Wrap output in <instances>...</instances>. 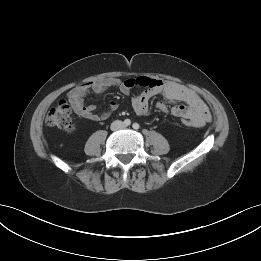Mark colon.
I'll list each match as a JSON object with an SVG mask.
<instances>
[{"label": "colon", "instance_id": "obj_1", "mask_svg": "<svg viewBox=\"0 0 261 261\" xmlns=\"http://www.w3.org/2000/svg\"><path fill=\"white\" fill-rule=\"evenodd\" d=\"M71 114L72 110L70 105L66 101H60L56 106L50 109L46 121L50 126L57 127L66 132H72L75 126ZM182 123L185 126H192V122L189 119L183 118Z\"/></svg>", "mask_w": 261, "mask_h": 261}]
</instances>
